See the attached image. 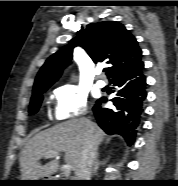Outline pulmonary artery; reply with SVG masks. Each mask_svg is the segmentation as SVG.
Masks as SVG:
<instances>
[{
    "instance_id": "pulmonary-artery-1",
    "label": "pulmonary artery",
    "mask_w": 178,
    "mask_h": 186,
    "mask_svg": "<svg viewBox=\"0 0 178 186\" xmlns=\"http://www.w3.org/2000/svg\"><path fill=\"white\" fill-rule=\"evenodd\" d=\"M97 85L99 87H104L106 85V82H105V80L100 78V79L97 80Z\"/></svg>"
}]
</instances>
